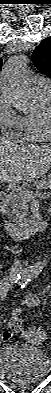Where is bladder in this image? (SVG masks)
Listing matches in <instances>:
<instances>
[{"mask_svg":"<svg viewBox=\"0 0 51 393\" xmlns=\"http://www.w3.org/2000/svg\"><path fill=\"white\" fill-rule=\"evenodd\" d=\"M0 369L8 380L16 383H35L50 374L51 360L44 351L10 346L3 352Z\"/></svg>","mask_w":51,"mask_h":393,"instance_id":"31cf9c89","label":"bladder"}]
</instances>
